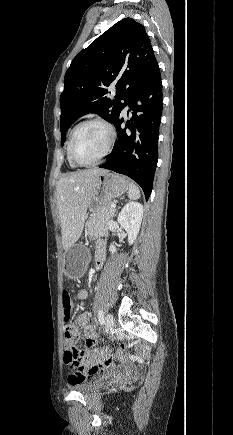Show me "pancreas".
Here are the masks:
<instances>
[{
	"mask_svg": "<svg viewBox=\"0 0 233 435\" xmlns=\"http://www.w3.org/2000/svg\"><path fill=\"white\" fill-rule=\"evenodd\" d=\"M111 202L102 206V208L90 215L88 222V235L104 236L108 233V221L115 215V209H112Z\"/></svg>",
	"mask_w": 233,
	"mask_h": 435,
	"instance_id": "cf45deb5",
	"label": "pancreas"
}]
</instances>
